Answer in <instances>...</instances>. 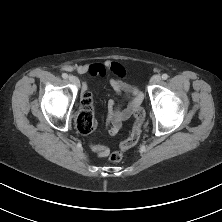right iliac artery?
I'll list each match as a JSON object with an SVG mask.
<instances>
[{"mask_svg":"<svg viewBox=\"0 0 222 222\" xmlns=\"http://www.w3.org/2000/svg\"><path fill=\"white\" fill-rule=\"evenodd\" d=\"M62 77H63L64 79H67V78H68V75H67L66 73H63V74H62Z\"/></svg>","mask_w":222,"mask_h":222,"instance_id":"82829eb1","label":"right iliac artery"}]
</instances>
